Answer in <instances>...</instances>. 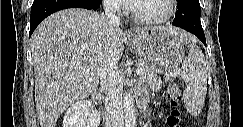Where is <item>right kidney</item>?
Here are the masks:
<instances>
[{
  "label": "right kidney",
  "instance_id": "obj_1",
  "mask_svg": "<svg viewBox=\"0 0 243 127\" xmlns=\"http://www.w3.org/2000/svg\"><path fill=\"white\" fill-rule=\"evenodd\" d=\"M100 114L87 100H79L67 109L63 118V127H98Z\"/></svg>",
  "mask_w": 243,
  "mask_h": 127
}]
</instances>
